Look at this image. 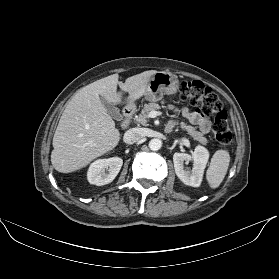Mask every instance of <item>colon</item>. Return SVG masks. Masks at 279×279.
Listing matches in <instances>:
<instances>
[{
  "label": "colon",
  "instance_id": "5ec220e1",
  "mask_svg": "<svg viewBox=\"0 0 279 279\" xmlns=\"http://www.w3.org/2000/svg\"><path fill=\"white\" fill-rule=\"evenodd\" d=\"M179 96L182 101L197 107L202 116L212 117L213 136L219 144L228 146L231 143L232 133L227 112L212 89L200 81L183 82L179 88Z\"/></svg>",
  "mask_w": 279,
  "mask_h": 279
}]
</instances>
